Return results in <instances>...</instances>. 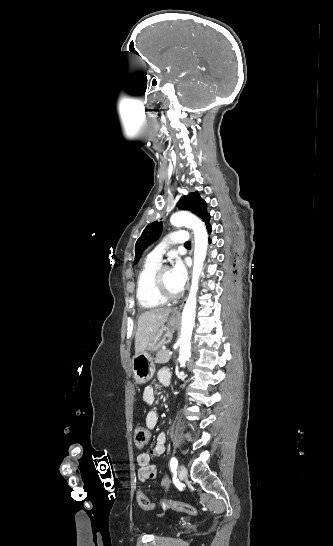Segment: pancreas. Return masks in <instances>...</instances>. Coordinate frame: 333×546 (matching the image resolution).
Instances as JSON below:
<instances>
[{
	"instance_id": "cf45deb5",
	"label": "pancreas",
	"mask_w": 333,
	"mask_h": 546,
	"mask_svg": "<svg viewBox=\"0 0 333 546\" xmlns=\"http://www.w3.org/2000/svg\"><path fill=\"white\" fill-rule=\"evenodd\" d=\"M168 350L166 349H161L157 352L156 354V357H155V362L158 363V364H164V363H167L171 356L168 354Z\"/></svg>"
}]
</instances>
